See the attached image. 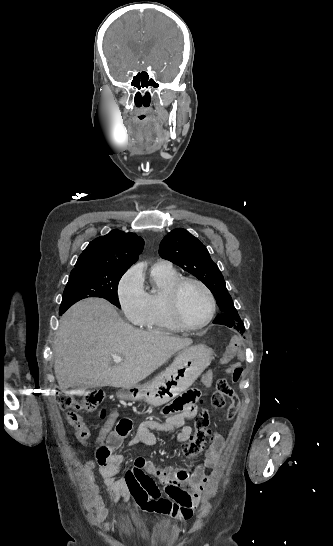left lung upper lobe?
I'll use <instances>...</instances> for the list:
<instances>
[{
  "mask_svg": "<svg viewBox=\"0 0 333 546\" xmlns=\"http://www.w3.org/2000/svg\"><path fill=\"white\" fill-rule=\"evenodd\" d=\"M159 255L201 280L213 293L221 312L240 320L221 271L196 237L185 229H174L161 241Z\"/></svg>",
  "mask_w": 333,
  "mask_h": 546,
  "instance_id": "left-lung-upper-lobe-1",
  "label": "left lung upper lobe"
}]
</instances>
